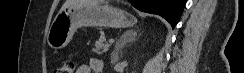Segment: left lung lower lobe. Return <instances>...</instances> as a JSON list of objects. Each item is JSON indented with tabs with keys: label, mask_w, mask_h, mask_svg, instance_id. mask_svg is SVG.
Here are the masks:
<instances>
[{
	"label": "left lung lower lobe",
	"mask_w": 244,
	"mask_h": 73,
	"mask_svg": "<svg viewBox=\"0 0 244 73\" xmlns=\"http://www.w3.org/2000/svg\"><path fill=\"white\" fill-rule=\"evenodd\" d=\"M140 11L164 17L174 28L179 21L186 0H129Z\"/></svg>",
	"instance_id": "left-lung-lower-lobe-1"
}]
</instances>
